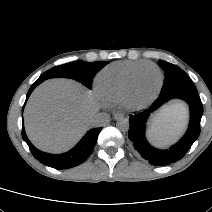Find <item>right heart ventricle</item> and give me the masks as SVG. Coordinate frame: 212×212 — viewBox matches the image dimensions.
<instances>
[{
	"instance_id": "right-heart-ventricle-1",
	"label": "right heart ventricle",
	"mask_w": 212,
	"mask_h": 212,
	"mask_svg": "<svg viewBox=\"0 0 212 212\" xmlns=\"http://www.w3.org/2000/svg\"><path fill=\"white\" fill-rule=\"evenodd\" d=\"M150 62L120 61L105 67L96 78V86L101 99L107 104H120L134 72Z\"/></svg>"
}]
</instances>
